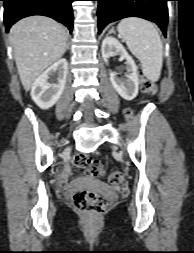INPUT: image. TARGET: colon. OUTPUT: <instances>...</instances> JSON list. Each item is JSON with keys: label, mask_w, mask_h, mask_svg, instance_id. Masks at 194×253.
<instances>
[{"label": "colon", "mask_w": 194, "mask_h": 253, "mask_svg": "<svg viewBox=\"0 0 194 253\" xmlns=\"http://www.w3.org/2000/svg\"><path fill=\"white\" fill-rule=\"evenodd\" d=\"M142 90L145 94L155 95L157 92L156 84L143 78L141 82ZM134 109L127 108L124 110L125 125L134 122ZM74 164L78 167L86 168L87 174L93 177H103L106 174L105 167L97 160H92L86 154H77L74 157ZM108 180L112 185H119L123 180V175L119 171H113L108 175ZM73 205L81 212L97 215L102 213L106 208L105 200L98 194L90 191L81 190L73 196Z\"/></svg>", "instance_id": "5ec220e1"}]
</instances>
